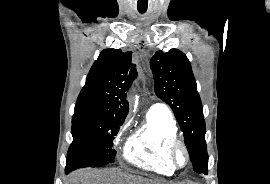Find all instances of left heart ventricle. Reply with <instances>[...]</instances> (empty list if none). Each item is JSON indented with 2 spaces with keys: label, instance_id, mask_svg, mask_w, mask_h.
Segmentation results:
<instances>
[{
  "label": "left heart ventricle",
  "instance_id": "obj_1",
  "mask_svg": "<svg viewBox=\"0 0 270 184\" xmlns=\"http://www.w3.org/2000/svg\"><path fill=\"white\" fill-rule=\"evenodd\" d=\"M177 159H178V162L180 164H183L184 161H185V155L182 151H179L178 155H177Z\"/></svg>",
  "mask_w": 270,
  "mask_h": 184
}]
</instances>
